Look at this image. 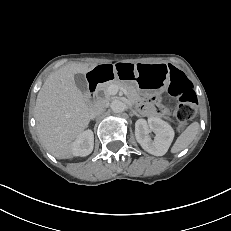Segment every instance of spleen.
<instances>
[{
    "instance_id": "spleen-1",
    "label": "spleen",
    "mask_w": 231,
    "mask_h": 231,
    "mask_svg": "<svg viewBox=\"0 0 231 231\" xmlns=\"http://www.w3.org/2000/svg\"><path fill=\"white\" fill-rule=\"evenodd\" d=\"M199 132V123L194 122L190 124L185 131L177 138L171 148L172 153H178L188 147L196 138Z\"/></svg>"
}]
</instances>
